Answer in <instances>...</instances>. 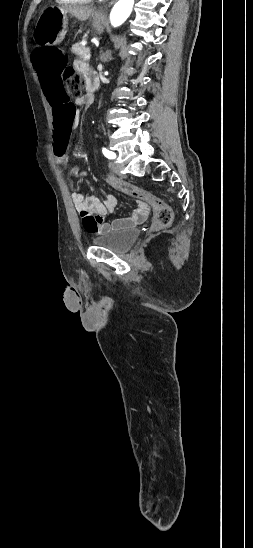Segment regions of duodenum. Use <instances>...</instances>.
Returning <instances> with one entry per match:
<instances>
[{"mask_svg": "<svg viewBox=\"0 0 253 548\" xmlns=\"http://www.w3.org/2000/svg\"><path fill=\"white\" fill-rule=\"evenodd\" d=\"M99 86V80L96 75H90L86 81V89L89 93L94 92L97 90Z\"/></svg>", "mask_w": 253, "mask_h": 548, "instance_id": "duodenum-1", "label": "duodenum"}]
</instances>
